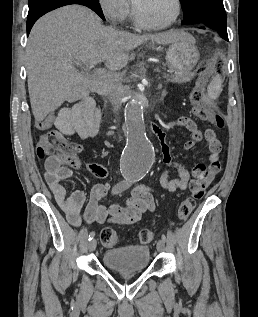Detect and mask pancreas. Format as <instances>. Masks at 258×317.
Masks as SVG:
<instances>
[{"instance_id": "obj_1", "label": "pancreas", "mask_w": 258, "mask_h": 317, "mask_svg": "<svg viewBox=\"0 0 258 317\" xmlns=\"http://www.w3.org/2000/svg\"><path fill=\"white\" fill-rule=\"evenodd\" d=\"M166 83H171V78H166V80H163ZM110 81H105V84H109ZM118 89H123V84H118ZM157 92H160L161 96H166L167 95V90L162 89V87H157Z\"/></svg>"}]
</instances>
